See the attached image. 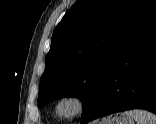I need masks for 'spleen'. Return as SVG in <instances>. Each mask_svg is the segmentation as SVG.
<instances>
[{"mask_svg":"<svg viewBox=\"0 0 156 124\" xmlns=\"http://www.w3.org/2000/svg\"><path fill=\"white\" fill-rule=\"evenodd\" d=\"M124 115L128 118H134L136 124H156V115L144 110L125 111Z\"/></svg>","mask_w":156,"mask_h":124,"instance_id":"1","label":"spleen"}]
</instances>
